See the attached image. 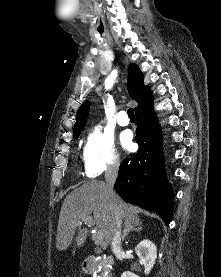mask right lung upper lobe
<instances>
[{
    "instance_id": "right-lung-upper-lobe-1",
    "label": "right lung upper lobe",
    "mask_w": 221,
    "mask_h": 277,
    "mask_svg": "<svg viewBox=\"0 0 221 277\" xmlns=\"http://www.w3.org/2000/svg\"><path fill=\"white\" fill-rule=\"evenodd\" d=\"M128 92L131 98L138 102L135 111L153 97L150 88L144 85L143 73L134 63L129 66ZM89 108L90 103L86 101L78 109L73 133L79 132L83 129L89 114Z\"/></svg>"
}]
</instances>
